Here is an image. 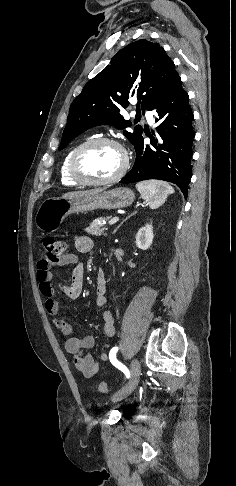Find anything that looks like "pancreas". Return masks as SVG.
I'll list each match as a JSON object with an SVG mask.
<instances>
[{"label":"pancreas","mask_w":236,"mask_h":486,"mask_svg":"<svg viewBox=\"0 0 236 486\" xmlns=\"http://www.w3.org/2000/svg\"><path fill=\"white\" fill-rule=\"evenodd\" d=\"M110 217H100L95 219L88 228H86L87 233L94 235V236H100L104 234V231L106 228L102 225V222L108 221L109 222Z\"/></svg>","instance_id":"obj_1"}]
</instances>
